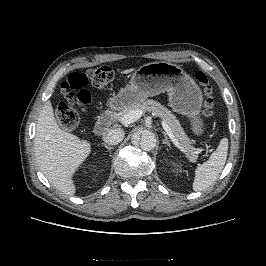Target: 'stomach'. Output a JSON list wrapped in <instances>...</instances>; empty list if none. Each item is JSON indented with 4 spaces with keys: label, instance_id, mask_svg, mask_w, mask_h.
I'll list each match as a JSON object with an SVG mask.
<instances>
[{
    "label": "stomach",
    "instance_id": "obj_1",
    "mask_svg": "<svg viewBox=\"0 0 266 266\" xmlns=\"http://www.w3.org/2000/svg\"><path fill=\"white\" fill-rule=\"evenodd\" d=\"M164 92L168 93V105L172 110L186 116L193 133L201 135V89L183 68L174 63L159 61L144 64L133 73L130 85L111 98L109 105L113 109L125 108Z\"/></svg>",
    "mask_w": 266,
    "mask_h": 266
}]
</instances>
